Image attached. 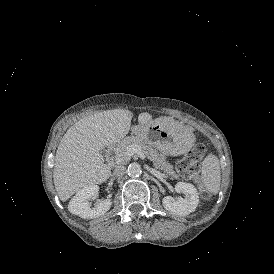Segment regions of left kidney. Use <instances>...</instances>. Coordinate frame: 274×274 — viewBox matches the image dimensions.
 Instances as JSON below:
<instances>
[{"mask_svg":"<svg viewBox=\"0 0 274 274\" xmlns=\"http://www.w3.org/2000/svg\"><path fill=\"white\" fill-rule=\"evenodd\" d=\"M176 190L183 193L184 198L166 196L163 198V205L165 209L173 214L180 216L188 215L194 211L199 204L198 190L193 184L186 182L177 183Z\"/></svg>","mask_w":274,"mask_h":274,"instance_id":"1","label":"left kidney"}]
</instances>
